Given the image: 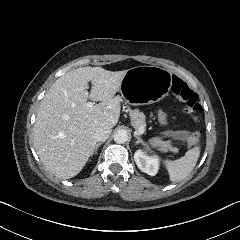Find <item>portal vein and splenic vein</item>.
Listing matches in <instances>:
<instances>
[{"label":"portal vein and splenic vein","mask_w":240,"mask_h":240,"mask_svg":"<svg viewBox=\"0 0 240 240\" xmlns=\"http://www.w3.org/2000/svg\"><path fill=\"white\" fill-rule=\"evenodd\" d=\"M87 107H93V103L89 102V103L87 104ZM136 131H137V132H135V133H138V134H140V135H141V134H143V133H144V131H145V130H144V128H143V127H141V126H140V127H138V128H137V130H136Z\"/></svg>","instance_id":"portal-vein-and-splenic-vein-1"}]
</instances>
